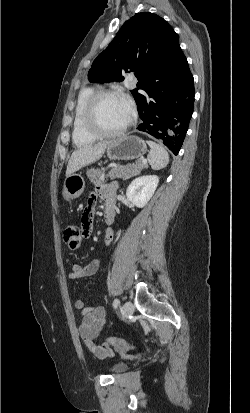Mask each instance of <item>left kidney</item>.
<instances>
[{"mask_svg": "<svg viewBox=\"0 0 250 413\" xmlns=\"http://www.w3.org/2000/svg\"><path fill=\"white\" fill-rule=\"evenodd\" d=\"M158 183L156 175L137 177L128 186L126 196L136 207L143 208L153 196Z\"/></svg>", "mask_w": 250, "mask_h": 413, "instance_id": "1", "label": "left kidney"}]
</instances>
